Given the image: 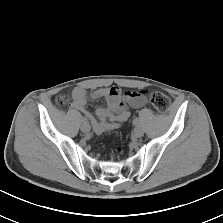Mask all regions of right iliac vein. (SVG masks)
Instances as JSON below:
<instances>
[{"label": "right iliac vein", "mask_w": 223, "mask_h": 223, "mask_svg": "<svg viewBox=\"0 0 223 223\" xmlns=\"http://www.w3.org/2000/svg\"><path fill=\"white\" fill-rule=\"evenodd\" d=\"M90 125L88 124V123H83L82 125H81V131L83 132V133H88L89 131H90Z\"/></svg>", "instance_id": "63e3f726"}]
</instances>
